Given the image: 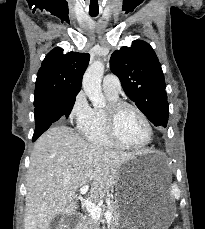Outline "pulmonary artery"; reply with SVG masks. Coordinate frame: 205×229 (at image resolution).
<instances>
[{"label":"pulmonary artery","instance_id":"obj_1","mask_svg":"<svg viewBox=\"0 0 205 229\" xmlns=\"http://www.w3.org/2000/svg\"><path fill=\"white\" fill-rule=\"evenodd\" d=\"M102 88L105 93L118 96L121 91L120 81L115 75L108 74L103 78Z\"/></svg>","mask_w":205,"mask_h":229}]
</instances>
